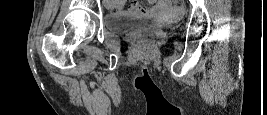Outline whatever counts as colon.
<instances>
[{
  "label": "colon",
  "mask_w": 267,
  "mask_h": 115,
  "mask_svg": "<svg viewBox=\"0 0 267 115\" xmlns=\"http://www.w3.org/2000/svg\"><path fill=\"white\" fill-rule=\"evenodd\" d=\"M174 3L178 4L179 1H178V0H175ZM122 11H123V10H122V7H121L120 5L115 4V5H111V7H110V12H111V13H121ZM142 38H143V39H150L151 36H149V35H145V36H143Z\"/></svg>",
  "instance_id": "colon-1"
}]
</instances>
